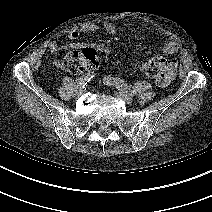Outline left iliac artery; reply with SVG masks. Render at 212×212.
<instances>
[{"instance_id":"44dca946","label":"left iliac artery","mask_w":212,"mask_h":212,"mask_svg":"<svg viewBox=\"0 0 212 212\" xmlns=\"http://www.w3.org/2000/svg\"><path fill=\"white\" fill-rule=\"evenodd\" d=\"M103 83L106 85H114L118 90L122 91L125 94H129L133 96V92L129 88V86L120 78L117 77H104Z\"/></svg>"}]
</instances>
